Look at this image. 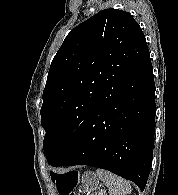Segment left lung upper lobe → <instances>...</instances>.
Masks as SVG:
<instances>
[{
    "mask_svg": "<svg viewBox=\"0 0 178 195\" xmlns=\"http://www.w3.org/2000/svg\"><path fill=\"white\" fill-rule=\"evenodd\" d=\"M139 24L105 9L74 28L53 58L43 91V148L55 166L82 136L93 113L147 57Z\"/></svg>",
    "mask_w": 178,
    "mask_h": 195,
    "instance_id": "5c2ea615",
    "label": "left lung upper lobe"
}]
</instances>
